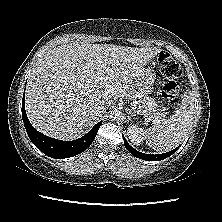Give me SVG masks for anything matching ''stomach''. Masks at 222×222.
I'll list each match as a JSON object with an SVG mask.
<instances>
[{
	"label": "stomach",
	"instance_id": "1",
	"mask_svg": "<svg viewBox=\"0 0 222 222\" xmlns=\"http://www.w3.org/2000/svg\"><path fill=\"white\" fill-rule=\"evenodd\" d=\"M156 78V74L153 70L147 68L142 69L140 73L135 77L134 83L136 88L143 94H149L152 92L153 84Z\"/></svg>",
	"mask_w": 222,
	"mask_h": 222
}]
</instances>
